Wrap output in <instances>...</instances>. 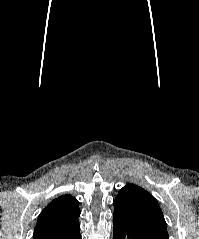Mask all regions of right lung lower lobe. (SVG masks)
<instances>
[{
    "label": "right lung lower lobe",
    "instance_id": "right-lung-lower-lobe-1",
    "mask_svg": "<svg viewBox=\"0 0 199 239\" xmlns=\"http://www.w3.org/2000/svg\"><path fill=\"white\" fill-rule=\"evenodd\" d=\"M78 218L66 224L34 231L33 239H81Z\"/></svg>",
    "mask_w": 199,
    "mask_h": 239
}]
</instances>
